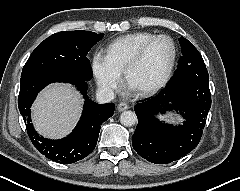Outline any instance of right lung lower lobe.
I'll return each mask as SVG.
<instances>
[{
    "label": "right lung lower lobe",
    "mask_w": 240,
    "mask_h": 191,
    "mask_svg": "<svg viewBox=\"0 0 240 191\" xmlns=\"http://www.w3.org/2000/svg\"><path fill=\"white\" fill-rule=\"evenodd\" d=\"M53 82L75 85L85 97L82 116L72 133L60 140H50L40 136L31 123L30 107L39 91ZM87 81L70 73L57 70L27 72L21 75L18 107L26 123L29 138L45 157L52 161L70 164L82 160L96 147L100 125L114 113V104H97L87 95Z\"/></svg>",
    "instance_id": "obj_1"
}]
</instances>
